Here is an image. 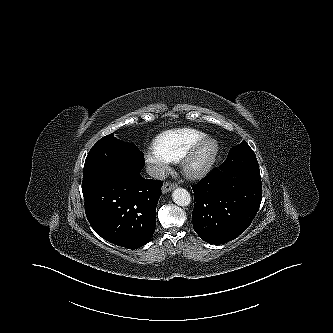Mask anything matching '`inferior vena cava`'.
I'll return each instance as SVG.
<instances>
[{
	"mask_svg": "<svg viewBox=\"0 0 333 333\" xmlns=\"http://www.w3.org/2000/svg\"><path fill=\"white\" fill-rule=\"evenodd\" d=\"M146 171L149 176L158 180H164L168 176V173L165 170V168L159 167L157 165H147Z\"/></svg>",
	"mask_w": 333,
	"mask_h": 333,
	"instance_id": "inferior-vena-cava-1",
	"label": "inferior vena cava"
}]
</instances>
